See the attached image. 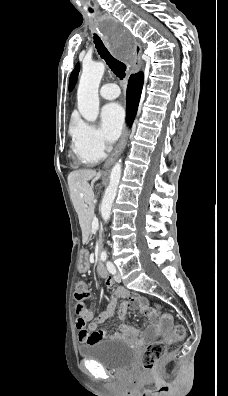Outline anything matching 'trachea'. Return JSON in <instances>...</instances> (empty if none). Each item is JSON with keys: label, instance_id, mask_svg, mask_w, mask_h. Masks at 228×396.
<instances>
[{"label": "trachea", "instance_id": "trachea-1", "mask_svg": "<svg viewBox=\"0 0 228 396\" xmlns=\"http://www.w3.org/2000/svg\"><path fill=\"white\" fill-rule=\"evenodd\" d=\"M94 43L97 49L98 54L101 56L102 59L105 60L109 68L113 71V73L119 77L121 80L126 75V65L114 58L107 48L104 46L102 40L96 34L94 35Z\"/></svg>", "mask_w": 228, "mask_h": 396}]
</instances>
